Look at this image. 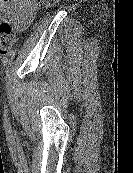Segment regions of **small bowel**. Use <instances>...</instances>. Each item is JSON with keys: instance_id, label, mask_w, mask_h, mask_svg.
<instances>
[{"instance_id": "obj_1", "label": "small bowel", "mask_w": 133, "mask_h": 173, "mask_svg": "<svg viewBox=\"0 0 133 173\" xmlns=\"http://www.w3.org/2000/svg\"><path fill=\"white\" fill-rule=\"evenodd\" d=\"M35 0H0V12H5L17 31L25 30L34 19Z\"/></svg>"}]
</instances>
